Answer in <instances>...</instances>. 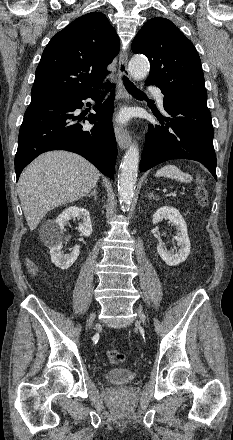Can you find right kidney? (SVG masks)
<instances>
[{
  "label": "right kidney",
  "mask_w": 233,
  "mask_h": 440,
  "mask_svg": "<svg viewBox=\"0 0 233 440\" xmlns=\"http://www.w3.org/2000/svg\"><path fill=\"white\" fill-rule=\"evenodd\" d=\"M79 219L78 231L84 237L92 234V225L89 212L84 208L71 206L65 209L55 220L45 223L43 226V242L50 249L51 261L62 270L68 269L79 256L80 246L76 245L70 254H63L62 234L64 227L71 219Z\"/></svg>",
  "instance_id": "1"
}]
</instances>
